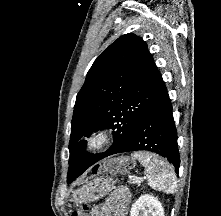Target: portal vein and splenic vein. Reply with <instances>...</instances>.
Masks as SVG:
<instances>
[{"instance_id": "obj_1", "label": "portal vein and splenic vein", "mask_w": 221, "mask_h": 216, "mask_svg": "<svg viewBox=\"0 0 221 216\" xmlns=\"http://www.w3.org/2000/svg\"><path fill=\"white\" fill-rule=\"evenodd\" d=\"M132 181H133V183H137V182H140L141 179H140V178H135V179H133Z\"/></svg>"}]
</instances>
